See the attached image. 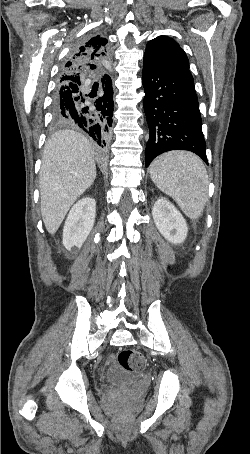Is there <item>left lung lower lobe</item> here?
Returning <instances> with one entry per match:
<instances>
[{"label": "left lung lower lobe", "mask_w": 250, "mask_h": 454, "mask_svg": "<svg viewBox=\"0 0 250 454\" xmlns=\"http://www.w3.org/2000/svg\"><path fill=\"white\" fill-rule=\"evenodd\" d=\"M144 111L150 130L145 166L171 150L194 152L208 164L199 104L189 69L168 67L144 56Z\"/></svg>", "instance_id": "left-lung-lower-lobe-1"}]
</instances>
